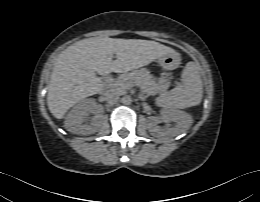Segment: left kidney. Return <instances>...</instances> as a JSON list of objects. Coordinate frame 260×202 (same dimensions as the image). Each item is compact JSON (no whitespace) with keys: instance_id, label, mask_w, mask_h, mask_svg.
<instances>
[{"instance_id":"5707ae66","label":"left kidney","mask_w":260,"mask_h":202,"mask_svg":"<svg viewBox=\"0 0 260 202\" xmlns=\"http://www.w3.org/2000/svg\"><path fill=\"white\" fill-rule=\"evenodd\" d=\"M176 122V125L173 128L162 129L158 126L160 122ZM190 117L178 110H162L160 117H149L148 118V129L152 136L161 138L167 135H178L181 133L184 128L187 127Z\"/></svg>"}]
</instances>
